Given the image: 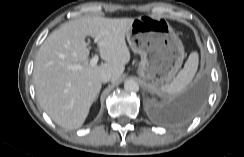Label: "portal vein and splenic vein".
<instances>
[{
	"instance_id": "portal-vein-and-splenic-vein-1",
	"label": "portal vein and splenic vein",
	"mask_w": 244,
	"mask_h": 157,
	"mask_svg": "<svg viewBox=\"0 0 244 157\" xmlns=\"http://www.w3.org/2000/svg\"><path fill=\"white\" fill-rule=\"evenodd\" d=\"M97 41H98V38H95L94 43H96ZM98 60H99L98 55H95V56L90 60V64H91L92 66H96ZM81 68H82V67H81L80 65H74V66L71 67V69H73V70H79V69H81Z\"/></svg>"
}]
</instances>
